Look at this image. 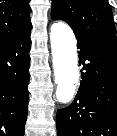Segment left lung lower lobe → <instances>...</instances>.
<instances>
[{
	"instance_id": "left-lung-lower-lobe-1",
	"label": "left lung lower lobe",
	"mask_w": 117,
	"mask_h": 136,
	"mask_svg": "<svg viewBox=\"0 0 117 136\" xmlns=\"http://www.w3.org/2000/svg\"><path fill=\"white\" fill-rule=\"evenodd\" d=\"M76 39L82 81L73 103L57 112L58 136H117V46Z\"/></svg>"
}]
</instances>
